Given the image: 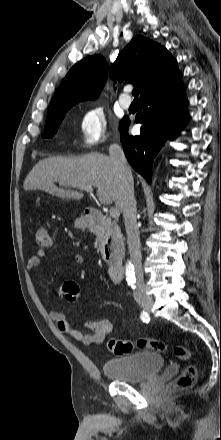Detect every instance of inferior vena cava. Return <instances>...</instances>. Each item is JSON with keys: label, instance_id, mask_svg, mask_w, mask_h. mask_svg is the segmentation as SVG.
<instances>
[{"label": "inferior vena cava", "instance_id": "obj_1", "mask_svg": "<svg viewBox=\"0 0 221 440\" xmlns=\"http://www.w3.org/2000/svg\"><path fill=\"white\" fill-rule=\"evenodd\" d=\"M109 157L120 181V204L123 210L129 254L135 271L137 286L136 295L141 296L144 292V278L141 262V244L136 221L137 209L136 200L134 197V181L132 172L127 163L123 149L118 144L113 143L110 145Z\"/></svg>", "mask_w": 221, "mask_h": 440}]
</instances>
